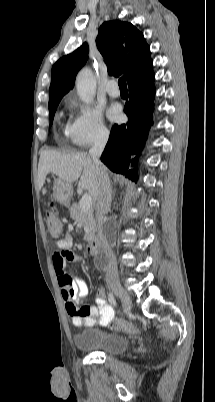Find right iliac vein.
<instances>
[{
  "label": "right iliac vein",
  "instance_id": "right-iliac-vein-1",
  "mask_svg": "<svg viewBox=\"0 0 215 402\" xmlns=\"http://www.w3.org/2000/svg\"><path fill=\"white\" fill-rule=\"evenodd\" d=\"M112 289L114 293L120 298L124 311L129 313L132 309V301L129 294L119 285V284H112Z\"/></svg>",
  "mask_w": 215,
  "mask_h": 402
}]
</instances>
